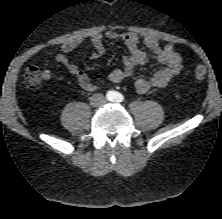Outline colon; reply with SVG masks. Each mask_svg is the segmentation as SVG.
I'll return each instance as SVG.
<instances>
[{"mask_svg":"<svg viewBox=\"0 0 222 219\" xmlns=\"http://www.w3.org/2000/svg\"><path fill=\"white\" fill-rule=\"evenodd\" d=\"M193 73L197 79L201 80L205 78L207 70L205 66L199 64L193 68ZM42 79V73L37 66H29L26 69L24 80L28 87L37 88L40 85Z\"/></svg>","mask_w":222,"mask_h":219,"instance_id":"5ec220e1","label":"colon"}]
</instances>
